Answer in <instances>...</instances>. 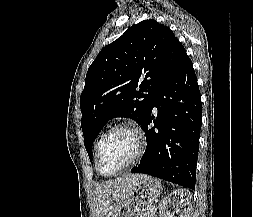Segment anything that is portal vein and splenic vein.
<instances>
[{"mask_svg": "<svg viewBox=\"0 0 253 217\" xmlns=\"http://www.w3.org/2000/svg\"><path fill=\"white\" fill-rule=\"evenodd\" d=\"M152 212H156V209L154 207L151 208Z\"/></svg>", "mask_w": 253, "mask_h": 217, "instance_id": "1", "label": "portal vein and splenic vein"}]
</instances>
